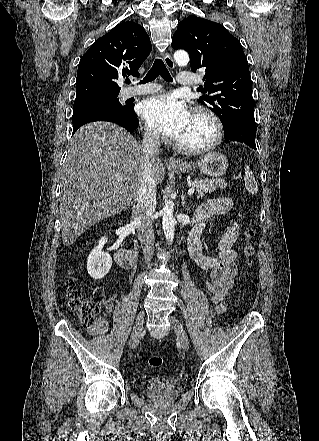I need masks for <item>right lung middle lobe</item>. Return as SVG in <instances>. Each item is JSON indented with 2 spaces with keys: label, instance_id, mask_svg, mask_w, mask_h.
<instances>
[{
  "label": "right lung middle lobe",
  "instance_id": "dd1d6c3e",
  "mask_svg": "<svg viewBox=\"0 0 319 441\" xmlns=\"http://www.w3.org/2000/svg\"><path fill=\"white\" fill-rule=\"evenodd\" d=\"M101 110L113 111L125 116L131 111V106L122 105L117 96L78 100L74 102L73 117Z\"/></svg>",
  "mask_w": 319,
  "mask_h": 441
}]
</instances>
